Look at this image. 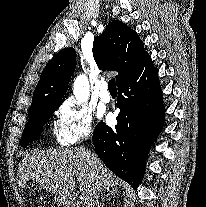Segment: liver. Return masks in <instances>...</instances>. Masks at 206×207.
<instances>
[{"mask_svg":"<svg viewBox=\"0 0 206 207\" xmlns=\"http://www.w3.org/2000/svg\"><path fill=\"white\" fill-rule=\"evenodd\" d=\"M29 180L55 195V201L63 205L72 200L76 181L87 202L97 187L108 192L118 185V178L96 156L91 162L83 148L36 150L26 154L18 166V184L24 187Z\"/></svg>","mask_w":206,"mask_h":207,"instance_id":"6515ba94","label":"liver"}]
</instances>
